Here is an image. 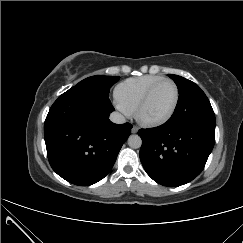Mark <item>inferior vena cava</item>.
Wrapping results in <instances>:
<instances>
[{
    "instance_id": "602c4592",
    "label": "inferior vena cava",
    "mask_w": 243,
    "mask_h": 243,
    "mask_svg": "<svg viewBox=\"0 0 243 243\" xmlns=\"http://www.w3.org/2000/svg\"><path fill=\"white\" fill-rule=\"evenodd\" d=\"M110 120L116 124H122L126 122L125 117L119 112H112L110 114Z\"/></svg>"
}]
</instances>
